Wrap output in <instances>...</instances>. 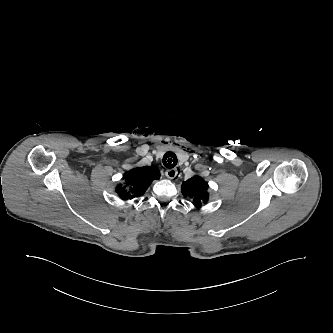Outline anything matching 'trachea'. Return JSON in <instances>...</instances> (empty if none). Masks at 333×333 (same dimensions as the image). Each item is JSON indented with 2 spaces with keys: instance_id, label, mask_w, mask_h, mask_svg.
Segmentation results:
<instances>
[{
  "instance_id": "3493384b",
  "label": "trachea",
  "mask_w": 333,
  "mask_h": 333,
  "mask_svg": "<svg viewBox=\"0 0 333 333\" xmlns=\"http://www.w3.org/2000/svg\"><path fill=\"white\" fill-rule=\"evenodd\" d=\"M163 164L166 168H174L177 165V156L173 152H167L163 156Z\"/></svg>"
}]
</instances>
